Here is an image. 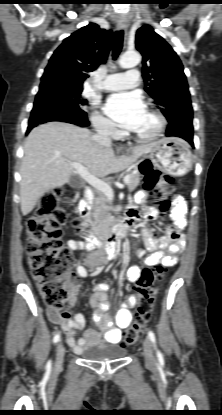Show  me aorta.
Wrapping results in <instances>:
<instances>
[{"mask_svg": "<svg viewBox=\"0 0 222 415\" xmlns=\"http://www.w3.org/2000/svg\"><path fill=\"white\" fill-rule=\"evenodd\" d=\"M141 61V56L137 52L125 53L119 60V65L122 68H133Z\"/></svg>", "mask_w": 222, "mask_h": 415, "instance_id": "1", "label": "aorta"}]
</instances>
